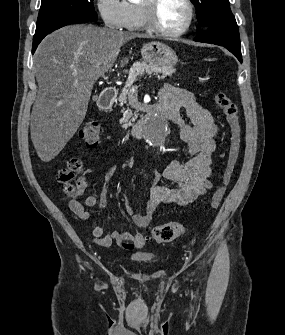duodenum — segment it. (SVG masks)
Listing matches in <instances>:
<instances>
[{"label":"duodenum","instance_id":"obj_1","mask_svg":"<svg viewBox=\"0 0 285 335\" xmlns=\"http://www.w3.org/2000/svg\"><path fill=\"white\" fill-rule=\"evenodd\" d=\"M117 96V89L115 87H108L103 90L98 100V107L101 110H108L113 101ZM151 114H155L163 119L172 120L176 116V110L174 107L167 101L160 100L159 103L150 111ZM146 118L138 120L132 126L130 130V135L133 138H140L144 132Z\"/></svg>","mask_w":285,"mask_h":335}]
</instances>
